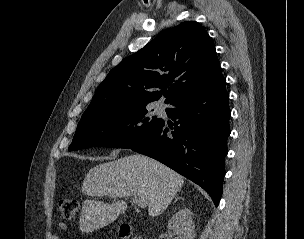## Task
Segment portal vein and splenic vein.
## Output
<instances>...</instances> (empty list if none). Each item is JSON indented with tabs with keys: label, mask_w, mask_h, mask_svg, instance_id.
<instances>
[{
	"label": "portal vein and splenic vein",
	"mask_w": 304,
	"mask_h": 239,
	"mask_svg": "<svg viewBox=\"0 0 304 239\" xmlns=\"http://www.w3.org/2000/svg\"><path fill=\"white\" fill-rule=\"evenodd\" d=\"M132 202L141 208H145L148 204L145 198L133 197Z\"/></svg>",
	"instance_id": "1"
}]
</instances>
